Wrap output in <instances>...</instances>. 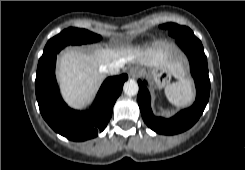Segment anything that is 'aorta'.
Here are the masks:
<instances>
[{"label": "aorta", "mask_w": 245, "mask_h": 170, "mask_svg": "<svg viewBox=\"0 0 245 170\" xmlns=\"http://www.w3.org/2000/svg\"><path fill=\"white\" fill-rule=\"evenodd\" d=\"M139 86L135 80H128L123 86V91L126 95L134 96L138 93Z\"/></svg>", "instance_id": "762f6f07"}]
</instances>
